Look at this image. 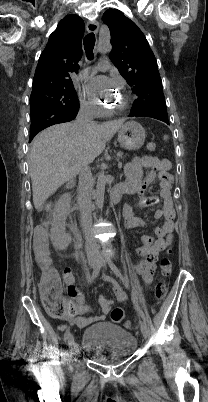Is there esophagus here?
Instances as JSON below:
<instances>
[{
	"instance_id": "1",
	"label": "esophagus",
	"mask_w": 208,
	"mask_h": 402,
	"mask_svg": "<svg viewBox=\"0 0 208 402\" xmlns=\"http://www.w3.org/2000/svg\"><path fill=\"white\" fill-rule=\"evenodd\" d=\"M99 29V24L96 21L88 22L87 23V31L89 33H97Z\"/></svg>"
}]
</instances>
